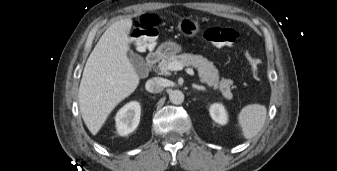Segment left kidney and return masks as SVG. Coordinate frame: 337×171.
Wrapping results in <instances>:
<instances>
[{"mask_svg":"<svg viewBox=\"0 0 337 171\" xmlns=\"http://www.w3.org/2000/svg\"><path fill=\"white\" fill-rule=\"evenodd\" d=\"M209 112L210 116L216 123L220 125H225L227 123L228 115L222 104L219 103L212 104L210 106Z\"/></svg>","mask_w":337,"mask_h":171,"instance_id":"left-kidney-1","label":"left kidney"}]
</instances>
